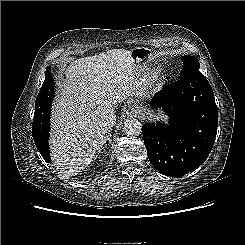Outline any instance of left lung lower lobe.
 <instances>
[{
  "label": "left lung lower lobe",
  "instance_id": "left-lung-lower-lobe-1",
  "mask_svg": "<svg viewBox=\"0 0 245 245\" xmlns=\"http://www.w3.org/2000/svg\"><path fill=\"white\" fill-rule=\"evenodd\" d=\"M151 103L163 107L168 124L143 125L151 164L166 176H183L199 167L213 147L218 111L213 90L202 73H192L166 85Z\"/></svg>",
  "mask_w": 245,
  "mask_h": 245
}]
</instances>
